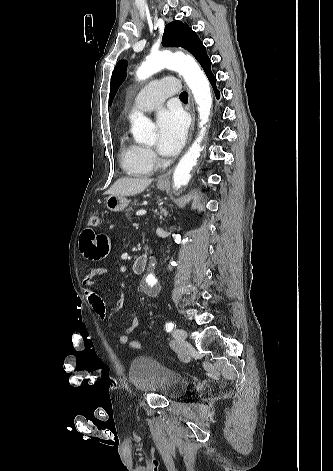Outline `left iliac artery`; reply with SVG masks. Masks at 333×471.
I'll return each mask as SVG.
<instances>
[{
	"instance_id": "left-iliac-artery-1",
	"label": "left iliac artery",
	"mask_w": 333,
	"mask_h": 471,
	"mask_svg": "<svg viewBox=\"0 0 333 471\" xmlns=\"http://www.w3.org/2000/svg\"><path fill=\"white\" fill-rule=\"evenodd\" d=\"M165 328H166V331H167V332L172 331L173 328H174V323L168 322V323L166 324V327H165Z\"/></svg>"
}]
</instances>
